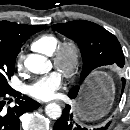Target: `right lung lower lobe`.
Returning <instances> with one entry per match:
<instances>
[{
	"mask_svg": "<svg viewBox=\"0 0 130 130\" xmlns=\"http://www.w3.org/2000/svg\"><path fill=\"white\" fill-rule=\"evenodd\" d=\"M10 96L17 97V104L14 107H8L6 100ZM39 107V103L27 96H21V93L11 87H0V130H19L20 116L27 111H32Z\"/></svg>",
	"mask_w": 130,
	"mask_h": 130,
	"instance_id": "1",
	"label": "right lung lower lobe"
}]
</instances>
